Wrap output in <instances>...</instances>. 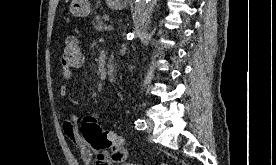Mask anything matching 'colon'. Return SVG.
I'll list each match as a JSON object with an SVG mask.
<instances>
[{
	"instance_id": "1",
	"label": "colon",
	"mask_w": 276,
	"mask_h": 165,
	"mask_svg": "<svg viewBox=\"0 0 276 165\" xmlns=\"http://www.w3.org/2000/svg\"><path fill=\"white\" fill-rule=\"evenodd\" d=\"M82 63V51L76 37L69 36L65 40L61 57L60 70L72 72ZM81 134L84 141L94 150L102 153H111L115 159L126 158L124 139L118 134L101 128L97 117L87 116L81 124ZM166 165V164H163Z\"/></svg>"
}]
</instances>
